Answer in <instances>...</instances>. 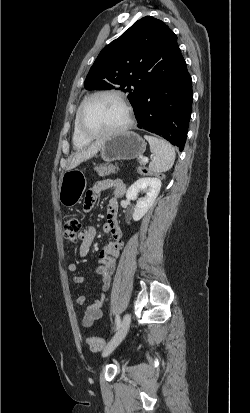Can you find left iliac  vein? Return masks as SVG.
<instances>
[{"label":"left iliac vein","mask_w":250,"mask_h":413,"mask_svg":"<svg viewBox=\"0 0 250 413\" xmlns=\"http://www.w3.org/2000/svg\"><path fill=\"white\" fill-rule=\"evenodd\" d=\"M131 323V316L129 313H126L123 316L122 322L118 331L113 336V338L109 341L106 348L103 351V356H108L125 338Z\"/></svg>","instance_id":"obj_1"}]
</instances>
